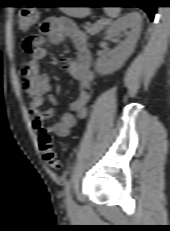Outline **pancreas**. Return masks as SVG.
<instances>
[{
    "instance_id": "pancreas-1",
    "label": "pancreas",
    "mask_w": 170,
    "mask_h": 231,
    "mask_svg": "<svg viewBox=\"0 0 170 231\" xmlns=\"http://www.w3.org/2000/svg\"><path fill=\"white\" fill-rule=\"evenodd\" d=\"M109 22L107 20H99L95 24H87L84 29L90 35H95L100 32Z\"/></svg>"
}]
</instances>
